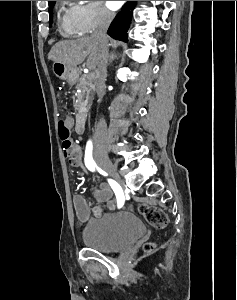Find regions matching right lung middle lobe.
I'll return each mask as SVG.
<instances>
[{"instance_id": "dd1d6c3e", "label": "right lung middle lobe", "mask_w": 237, "mask_h": 300, "mask_svg": "<svg viewBox=\"0 0 237 300\" xmlns=\"http://www.w3.org/2000/svg\"><path fill=\"white\" fill-rule=\"evenodd\" d=\"M55 2L56 1H53L52 3L49 4V13H50L49 24H50V26L52 25V10H53V6H54Z\"/></svg>"}]
</instances>
